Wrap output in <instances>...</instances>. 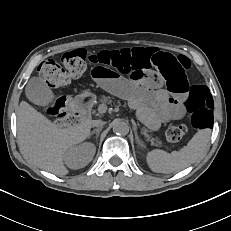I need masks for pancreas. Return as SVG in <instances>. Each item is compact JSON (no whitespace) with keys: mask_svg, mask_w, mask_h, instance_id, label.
<instances>
[{"mask_svg":"<svg viewBox=\"0 0 231 231\" xmlns=\"http://www.w3.org/2000/svg\"><path fill=\"white\" fill-rule=\"evenodd\" d=\"M100 101L103 103V104H112V103H115L114 102V99L111 98V97H107V96H102L100 98ZM142 134L147 138V140L151 141L153 144H155V146H160V142L157 140V138H155L153 135H152V131L145 128V127H142V130H141Z\"/></svg>","mask_w":231,"mask_h":231,"instance_id":"cf45deb5","label":"pancreas"}]
</instances>
